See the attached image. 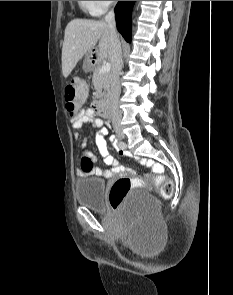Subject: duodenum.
I'll list each match as a JSON object with an SVG mask.
<instances>
[{
	"label": "duodenum",
	"instance_id": "duodenum-1",
	"mask_svg": "<svg viewBox=\"0 0 233 295\" xmlns=\"http://www.w3.org/2000/svg\"><path fill=\"white\" fill-rule=\"evenodd\" d=\"M93 110L100 116H108V110L105 102L102 99H96L93 102Z\"/></svg>",
	"mask_w": 233,
	"mask_h": 295
}]
</instances>
